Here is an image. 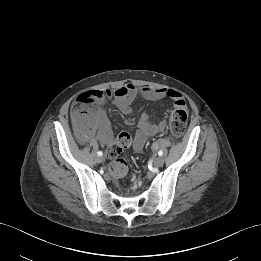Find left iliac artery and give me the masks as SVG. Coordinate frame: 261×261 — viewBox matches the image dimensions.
Here are the masks:
<instances>
[{
  "label": "left iliac artery",
  "mask_w": 261,
  "mask_h": 261,
  "mask_svg": "<svg viewBox=\"0 0 261 261\" xmlns=\"http://www.w3.org/2000/svg\"><path fill=\"white\" fill-rule=\"evenodd\" d=\"M158 155H159V156H162V155H163V151H162V150H159Z\"/></svg>",
  "instance_id": "obj_1"
}]
</instances>
